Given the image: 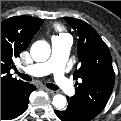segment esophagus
Returning a JSON list of instances; mask_svg holds the SVG:
<instances>
[{
  "mask_svg": "<svg viewBox=\"0 0 121 121\" xmlns=\"http://www.w3.org/2000/svg\"><path fill=\"white\" fill-rule=\"evenodd\" d=\"M44 90H45L47 93L51 94V95H54V94H55V91H53V90H51V89L44 88Z\"/></svg>",
  "mask_w": 121,
  "mask_h": 121,
  "instance_id": "obj_1",
  "label": "esophagus"
}]
</instances>
